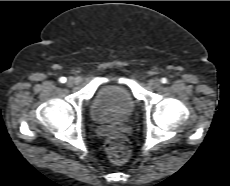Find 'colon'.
Returning a JSON list of instances; mask_svg holds the SVG:
<instances>
[{
  "label": "colon",
  "mask_w": 230,
  "mask_h": 186,
  "mask_svg": "<svg viewBox=\"0 0 230 186\" xmlns=\"http://www.w3.org/2000/svg\"><path fill=\"white\" fill-rule=\"evenodd\" d=\"M105 150L110 162L115 165L126 162L131 152L129 141L123 135L109 137L105 142Z\"/></svg>",
  "instance_id": "5ec220e1"
}]
</instances>
